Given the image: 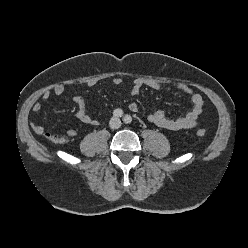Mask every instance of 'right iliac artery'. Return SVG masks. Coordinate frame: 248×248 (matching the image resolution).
I'll use <instances>...</instances> for the list:
<instances>
[{"label": "right iliac artery", "instance_id": "1", "mask_svg": "<svg viewBox=\"0 0 248 248\" xmlns=\"http://www.w3.org/2000/svg\"><path fill=\"white\" fill-rule=\"evenodd\" d=\"M113 115H114L115 117H121V116L123 115V111H122L121 109H115V110L113 111Z\"/></svg>", "mask_w": 248, "mask_h": 248}]
</instances>
